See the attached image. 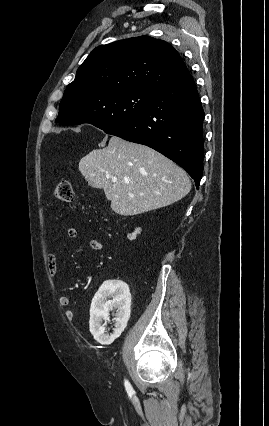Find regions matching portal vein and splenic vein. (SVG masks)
I'll return each instance as SVG.
<instances>
[{"label":"portal vein and splenic vein","mask_w":269,"mask_h":426,"mask_svg":"<svg viewBox=\"0 0 269 426\" xmlns=\"http://www.w3.org/2000/svg\"><path fill=\"white\" fill-rule=\"evenodd\" d=\"M112 181H113V182H116V181H117V178H112Z\"/></svg>","instance_id":"18ae733b"}]
</instances>
